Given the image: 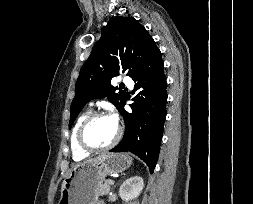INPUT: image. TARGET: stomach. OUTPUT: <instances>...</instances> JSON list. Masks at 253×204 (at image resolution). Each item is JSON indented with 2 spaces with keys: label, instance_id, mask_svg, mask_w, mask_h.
Wrapping results in <instances>:
<instances>
[{
  "label": "stomach",
  "instance_id": "stomach-1",
  "mask_svg": "<svg viewBox=\"0 0 253 204\" xmlns=\"http://www.w3.org/2000/svg\"><path fill=\"white\" fill-rule=\"evenodd\" d=\"M132 158L126 154H101L77 165L65 177L58 204H96L98 184L113 173L128 169Z\"/></svg>",
  "mask_w": 253,
  "mask_h": 204
}]
</instances>
